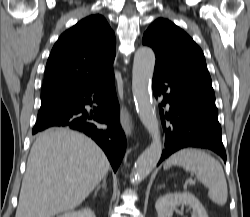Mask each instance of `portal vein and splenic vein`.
<instances>
[{"label": "portal vein and splenic vein", "instance_id": "portal-vein-and-splenic-vein-1", "mask_svg": "<svg viewBox=\"0 0 250 217\" xmlns=\"http://www.w3.org/2000/svg\"><path fill=\"white\" fill-rule=\"evenodd\" d=\"M191 184H195V180H189Z\"/></svg>", "mask_w": 250, "mask_h": 217}]
</instances>
